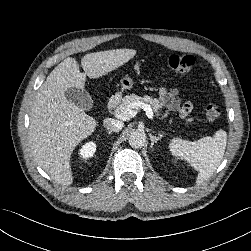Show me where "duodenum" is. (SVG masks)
<instances>
[{
    "label": "duodenum",
    "mask_w": 251,
    "mask_h": 251,
    "mask_svg": "<svg viewBox=\"0 0 251 251\" xmlns=\"http://www.w3.org/2000/svg\"><path fill=\"white\" fill-rule=\"evenodd\" d=\"M118 101H119L118 97L113 96L112 98L109 99V101L107 103V108L114 109L117 106Z\"/></svg>",
    "instance_id": "obj_1"
}]
</instances>
